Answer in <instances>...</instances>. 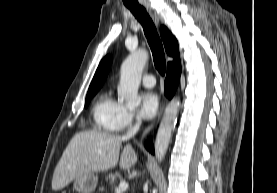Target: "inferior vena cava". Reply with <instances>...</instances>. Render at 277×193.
Segmentation results:
<instances>
[{"instance_id":"inferior-vena-cava-1","label":"inferior vena cava","mask_w":277,"mask_h":193,"mask_svg":"<svg viewBox=\"0 0 277 193\" xmlns=\"http://www.w3.org/2000/svg\"><path fill=\"white\" fill-rule=\"evenodd\" d=\"M141 123H142L141 117L138 116L136 118V123H135L134 127L127 132V134L125 135V138L128 139V138L133 137L138 132V130L141 126Z\"/></svg>"}]
</instances>
